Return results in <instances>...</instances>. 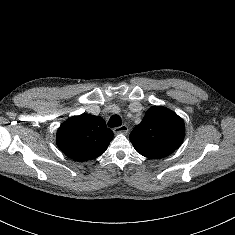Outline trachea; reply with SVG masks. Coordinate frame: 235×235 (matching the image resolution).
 <instances>
[{"label":"trachea","instance_id":"obj_1","mask_svg":"<svg viewBox=\"0 0 235 235\" xmlns=\"http://www.w3.org/2000/svg\"><path fill=\"white\" fill-rule=\"evenodd\" d=\"M122 125V120L119 115H112L108 121V126L113 127H119Z\"/></svg>","mask_w":235,"mask_h":235}]
</instances>
